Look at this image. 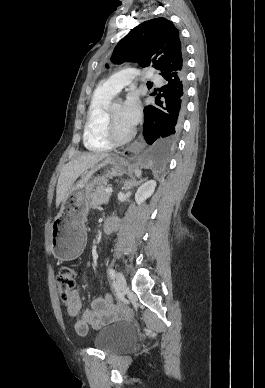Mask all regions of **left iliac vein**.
Returning <instances> with one entry per match:
<instances>
[{"label": "left iliac vein", "instance_id": "left-iliac-vein-1", "mask_svg": "<svg viewBox=\"0 0 265 388\" xmlns=\"http://www.w3.org/2000/svg\"><path fill=\"white\" fill-rule=\"evenodd\" d=\"M116 286L117 288L119 289V291L122 293V294H125L126 290H127V284H126V280L123 276L122 273H117V276H116Z\"/></svg>", "mask_w": 265, "mask_h": 388}]
</instances>
